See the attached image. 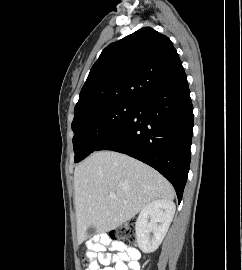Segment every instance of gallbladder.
Here are the masks:
<instances>
[{"label": "gallbladder", "mask_w": 242, "mask_h": 270, "mask_svg": "<svg viewBox=\"0 0 242 270\" xmlns=\"http://www.w3.org/2000/svg\"><path fill=\"white\" fill-rule=\"evenodd\" d=\"M91 228H93V227L88 228V230H87L88 234H90L93 231V229H95V228H93V229H91Z\"/></svg>", "instance_id": "gallbladder-1"}]
</instances>
